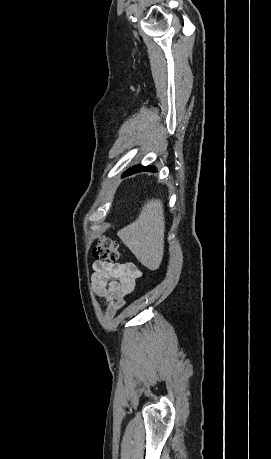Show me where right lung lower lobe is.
Listing matches in <instances>:
<instances>
[{"instance_id": "obj_1", "label": "right lung lower lobe", "mask_w": 271, "mask_h": 459, "mask_svg": "<svg viewBox=\"0 0 271 459\" xmlns=\"http://www.w3.org/2000/svg\"><path fill=\"white\" fill-rule=\"evenodd\" d=\"M141 171H155V168L151 167V166H147V167L134 166V167L130 168L123 176H128V175H131V174H134V173H137V172H141Z\"/></svg>"}]
</instances>
